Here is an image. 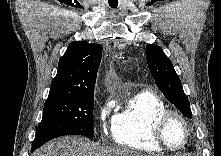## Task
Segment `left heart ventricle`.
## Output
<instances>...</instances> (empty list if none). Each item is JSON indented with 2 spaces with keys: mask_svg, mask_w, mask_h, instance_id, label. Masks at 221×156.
Here are the masks:
<instances>
[{
  "mask_svg": "<svg viewBox=\"0 0 221 156\" xmlns=\"http://www.w3.org/2000/svg\"><path fill=\"white\" fill-rule=\"evenodd\" d=\"M185 127L177 117H171L164 129V138L171 147H179L185 140Z\"/></svg>",
  "mask_w": 221,
  "mask_h": 156,
  "instance_id": "b2bd125f",
  "label": "left heart ventricle"
}]
</instances>
